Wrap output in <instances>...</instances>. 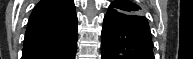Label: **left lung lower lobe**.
Here are the masks:
<instances>
[{"mask_svg":"<svg viewBox=\"0 0 193 59\" xmlns=\"http://www.w3.org/2000/svg\"><path fill=\"white\" fill-rule=\"evenodd\" d=\"M147 19L108 11L101 35L102 59H154Z\"/></svg>","mask_w":193,"mask_h":59,"instance_id":"left-lung-lower-lobe-1","label":"left lung lower lobe"}]
</instances>
